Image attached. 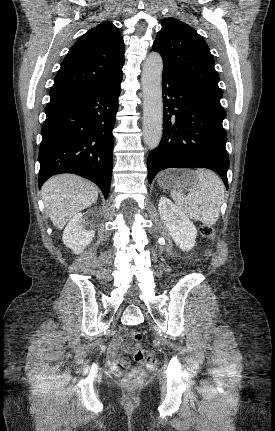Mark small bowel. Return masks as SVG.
<instances>
[{
  "mask_svg": "<svg viewBox=\"0 0 275 431\" xmlns=\"http://www.w3.org/2000/svg\"><path fill=\"white\" fill-rule=\"evenodd\" d=\"M125 342V348L127 352H131V344L129 341H127L126 336L123 334H119L113 338V340L110 343V347L108 350V362L110 367L116 371L119 364L126 365L128 363V359L124 357L121 361L118 359V349L121 346V344Z\"/></svg>",
  "mask_w": 275,
  "mask_h": 431,
  "instance_id": "1",
  "label": "small bowel"
}]
</instances>
